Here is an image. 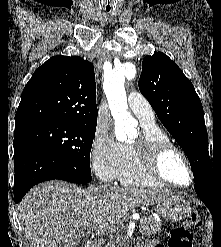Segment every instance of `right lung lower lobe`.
<instances>
[{
	"instance_id": "obj_1",
	"label": "right lung lower lobe",
	"mask_w": 221,
	"mask_h": 247,
	"mask_svg": "<svg viewBox=\"0 0 221 247\" xmlns=\"http://www.w3.org/2000/svg\"><path fill=\"white\" fill-rule=\"evenodd\" d=\"M14 201L19 203L34 185L54 179L84 184L91 174L75 168L52 152L26 141H14Z\"/></svg>"
}]
</instances>
